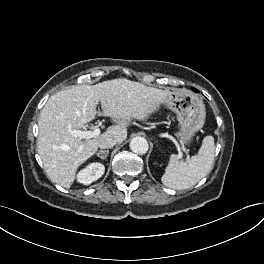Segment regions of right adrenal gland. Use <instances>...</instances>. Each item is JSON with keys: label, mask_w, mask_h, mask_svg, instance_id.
Here are the masks:
<instances>
[{"label": "right adrenal gland", "mask_w": 264, "mask_h": 264, "mask_svg": "<svg viewBox=\"0 0 264 264\" xmlns=\"http://www.w3.org/2000/svg\"><path fill=\"white\" fill-rule=\"evenodd\" d=\"M109 154V150H100L96 156L99 157L102 160H105Z\"/></svg>", "instance_id": "2a0ac1e0"}]
</instances>
